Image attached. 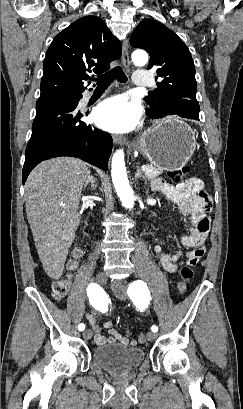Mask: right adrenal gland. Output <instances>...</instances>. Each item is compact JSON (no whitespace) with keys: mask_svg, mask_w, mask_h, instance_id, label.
<instances>
[{"mask_svg":"<svg viewBox=\"0 0 243 409\" xmlns=\"http://www.w3.org/2000/svg\"><path fill=\"white\" fill-rule=\"evenodd\" d=\"M91 184V189L94 191L97 188V184L95 182V178L92 175H89V178L87 179L85 185H84V189L87 188V186Z\"/></svg>","mask_w":243,"mask_h":409,"instance_id":"2a0ac1e0","label":"right adrenal gland"}]
</instances>
